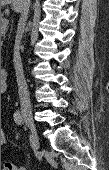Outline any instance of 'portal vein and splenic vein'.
I'll use <instances>...</instances> for the list:
<instances>
[{"mask_svg":"<svg viewBox=\"0 0 109 170\" xmlns=\"http://www.w3.org/2000/svg\"><path fill=\"white\" fill-rule=\"evenodd\" d=\"M9 23V20L6 18L1 19V29H6L7 25Z\"/></svg>","mask_w":109,"mask_h":170,"instance_id":"obj_1","label":"portal vein and splenic vein"}]
</instances>
